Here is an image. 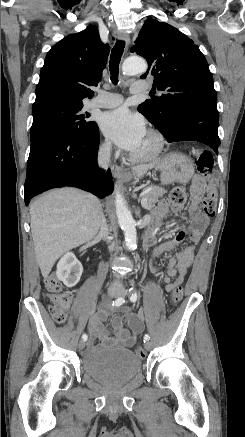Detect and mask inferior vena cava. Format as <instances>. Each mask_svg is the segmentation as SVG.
I'll return each instance as SVG.
<instances>
[{
  "instance_id": "obj_1",
  "label": "inferior vena cava",
  "mask_w": 245,
  "mask_h": 437,
  "mask_svg": "<svg viewBox=\"0 0 245 437\" xmlns=\"http://www.w3.org/2000/svg\"><path fill=\"white\" fill-rule=\"evenodd\" d=\"M111 147L112 146L110 143L106 144L103 150L99 154L98 163L103 169H107L109 166ZM100 232L103 234L104 237H107L109 234L108 225L103 214L101 215V220H100ZM113 250H114V245H110L109 251L111 252Z\"/></svg>"
}]
</instances>
